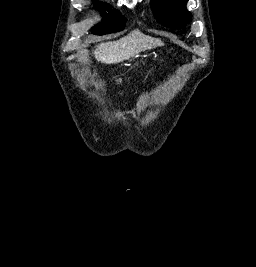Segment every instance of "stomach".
I'll return each mask as SVG.
<instances>
[{
	"label": "stomach",
	"mask_w": 256,
	"mask_h": 267,
	"mask_svg": "<svg viewBox=\"0 0 256 267\" xmlns=\"http://www.w3.org/2000/svg\"><path fill=\"white\" fill-rule=\"evenodd\" d=\"M140 67H147V62H140Z\"/></svg>",
	"instance_id": "1"
}]
</instances>
